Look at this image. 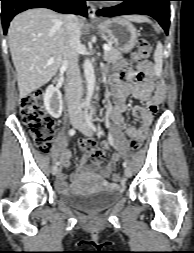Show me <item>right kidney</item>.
I'll list each match as a JSON object with an SVG mask.
<instances>
[{"instance_id": "right-kidney-1", "label": "right kidney", "mask_w": 194, "mask_h": 253, "mask_svg": "<svg viewBox=\"0 0 194 253\" xmlns=\"http://www.w3.org/2000/svg\"><path fill=\"white\" fill-rule=\"evenodd\" d=\"M44 106L46 111L54 118H59L63 110L62 94L52 85L44 93Z\"/></svg>"}]
</instances>
